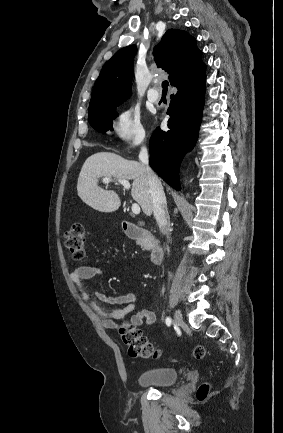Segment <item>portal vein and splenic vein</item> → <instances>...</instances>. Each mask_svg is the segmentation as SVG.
Returning a JSON list of instances; mask_svg holds the SVG:
<instances>
[{"mask_svg":"<svg viewBox=\"0 0 283 433\" xmlns=\"http://www.w3.org/2000/svg\"><path fill=\"white\" fill-rule=\"evenodd\" d=\"M110 180H112V178H110V176H104V178H103V182H110ZM118 182H120V184H123L124 188H130L129 180H125V178H118ZM131 208H132V212H134V214H139V212H140L139 204H136V202H134V204H132Z\"/></svg>","mask_w":283,"mask_h":433,"instance_id":"portal-vein-and-splenic-vein-1","label":"portal vein and splenic vein"}]
</instances>
